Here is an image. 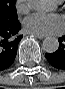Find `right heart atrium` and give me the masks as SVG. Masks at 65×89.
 <instances>
[{
    "label": "right heart atrium",
    "mask_w": 65,
    "mask_h": 89,
    "mask_svg": "<svg viewBox=\"0 0 65 89\" xmlns=\"http://www.w3.org/2000/svg\"><path fill=\"white\" fill-rule=\"evenodd\" d=\"M17 11L21 14H26L30 8L31 4L28 0H18L16 4Z\"/></svg>",
    "instance_id": "obj_1"
}]
</instances>
